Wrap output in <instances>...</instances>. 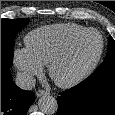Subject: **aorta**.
<instances>
[{"label":"aorta","mask_w":115,"mask_h":115,"mask_svg":"<svg viewBox=\"0 0 115 115\" xmlns=\"http://www.w3.org/2000/svg\"><path fill=\"white\" fill-rule=\"evenodd\" d=\"M39 109L48 115L56 113L58 109L57 100L50 95H43L38 101Z\"/></svg>","instance_id":"obj_1"}]
</instances>
